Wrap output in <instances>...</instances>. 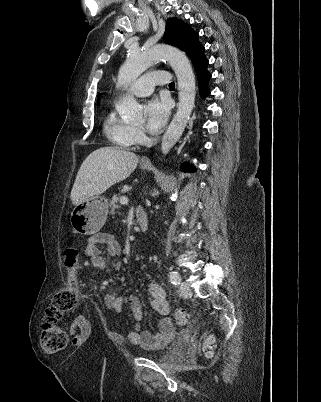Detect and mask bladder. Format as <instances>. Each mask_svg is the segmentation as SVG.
<instances>
[{"mask_svg": "<svg viewBox=\"0 0 321 402\" xmlns=\"http://www.w3.org/2000/svg\"><path fill=\"white\" fill-rule=\"evenodd\" d=\"M171 344H165L162 348V350L158 353H150L146 354L148 357L162 361V362H169L173 360L174 356L173 353L170 349Z\"/></svg>", "mask_w": 321, "mask_h": 402, "instance_id": "obj_1", "label": "bladder"}]
</instances>
